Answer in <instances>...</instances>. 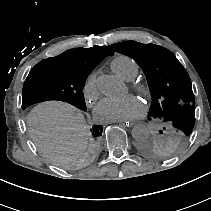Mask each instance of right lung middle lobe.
Instances as JSON below:
<instances>
[{
    "label": "right lung middle lobe",
    "instance_id": "1",
    "mask_svg": "<svg viewBox=\"0 0 211 211\" xmlns=\"http://www.w3.org/2000/svg\"><path fill=\"white\" fill-rule=\"evenodd\" d=\"M97 65L53 57L42 60L31 69L24 82L22 109L42 101L60 100L86 111L82 89ZM102 128L94 125L90 131L99 137Z\"/></svg>",
    "mask_w": 211,
    "mask_h": 211
}]
</instances>
